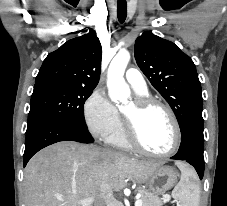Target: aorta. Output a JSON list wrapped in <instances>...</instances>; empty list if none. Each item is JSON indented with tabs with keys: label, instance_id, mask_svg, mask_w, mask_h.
<instances>
[{
	"label": "aorta",
	"instance_id": "aorta-1",
	"mask_svg": "<svg viewBox=\"0 0 227 206\" xmlns=\"http://www.w3.org/2000/svg\"><path fill=\"white\" fill-rule=\"evenodd\" d=\"M130 61V53L121 50L111 61L107 73L108 95L114 103H125L130 97V88L124 79V72Z\"/></svg>",
	"mask_w": 227,
	"mask_h": 206
}]
</instances>
